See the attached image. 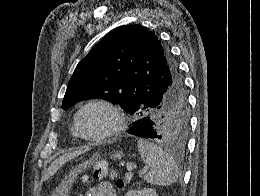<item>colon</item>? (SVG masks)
<instances>
[{"instance_id":"obj_1","label":"colon","mask_w":260,"mask_h":196,"mask_svg":"<svg viewBox=\"0 0 260 196\" xmlns=\"http://www.w3.org/2000/svg\"><path fill=\"white\" fill-rule=\"evenodd\" d=\"M92 171L94 173V178L100 181H104L108 176L107 165L104 161H96L92 166ZM81 176L84 181L90 180V177L86 171H82ZM111 177L114 179L116 177L115 173H113Z\"/></svg>"}]
</instances>
